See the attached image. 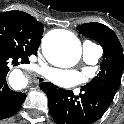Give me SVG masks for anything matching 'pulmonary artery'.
<instances>
[{
    "label": "pulmonary artery",
    "mask_w": 124,
    "mask_h": 124,
    "mask_svg": "<svg viewBox=\"0 0 124 124\" xmlns=\"http://www.w3.org/2000/svg\"><path fill=\"white\" fill-rule=\"evenodd\" d=\"M83 57L88 64H95L102 55V48L92 42L86 41L82 45Z\"/></svg>",
    "instance_id": "pulmonary-artery-1"
}]
</instances>
